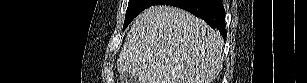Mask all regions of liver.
<instances>
[{
	"label": "liver",
	"mask_w": 307,
	"mask_h": 83,
	"mask_svg": "<svg viewBox=\"0 0 307 83\" xmlns=\"http://www.w3.org/2000/svg\"><path fill=\"white\" fill-rule=\"evenodd\" d=\"M218 31L174 6H152L135 20L117 60L138 83H211L222 69Z\"/></svg>",
	"instance_id": "1"
}]
</instances>
